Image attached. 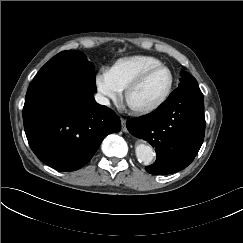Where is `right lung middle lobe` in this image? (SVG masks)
<instances>
[{
  "instance_id": "obj_1",
  "label": "right lung middle lobe",
  "mask_w": 243,
  "mask_h": 243,
  "mask_svg": "<svg viewBox=\"0 0 243 243\" xmlns=\"http://www.w3.org/2000/svg\"><path fill=\"white\" fill-rule=\"evenodd\" d=\"M36 76L95 81V68L82 52L68 50L52 57Z\"/></svg>"
}]
</instances>
